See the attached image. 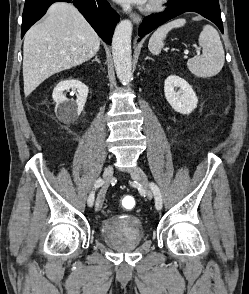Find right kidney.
Returning a JSON list of instances; mask_svg holds the SVG:
<instances>
[{
	"mask_svg": "<svg viewBox=\"0 0 249 294\" xmlns=\"http://www.w3.org/2000/svg\"><path fill=\"white\" fill-rule=\"evenodd\" d=\"M77 90L76 100L68 99L64 91ZM88 87L78 79H66L60 81L53 90V100L56 102V114L60 120L69 123L75 121L85 106Z\"/></svg>",
	"mask_w": 249,
	"mask_h": 294,
	"instance_id": "ca27d5eb",
	"label": "right kidney"
}]
</instances>
